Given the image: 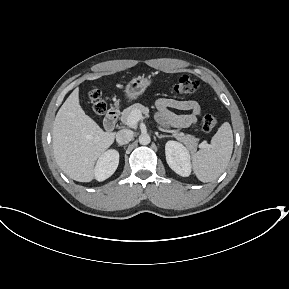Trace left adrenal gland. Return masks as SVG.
I'll list each match as a JSON object with an SVG mask.
<instances>
[{
	"label": "left adrenal gland",
	"instance_id": "left-adrenal-gland-1",
	"mask_svg": "<svg viewBox=\"0 0 289 289\" xmlns=\"http://www.w3.org/2000/svg\"><path fill=\"white\" fill-rule=\"evenodd\" d=\"M156 135H157V137L160 138V139H161V138H164V137H170L169 135H162V134L159 135L158 133H157Z\"/></svg>",
	"mask_w": 289,
	"mask_h": 289
}]
</instances>
